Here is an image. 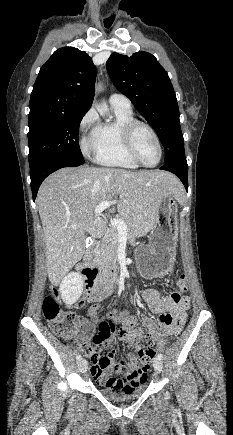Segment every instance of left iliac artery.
Masks as SVG:
<instances>
[{
	"label": "left iliac artery",
	"mask_w": 233,
	"mask_h": 435,
	"mask_svg": "<svg viewBox=\"0 0 233 435\" xmlns=\"http://www.w3.org/2000/svg\"><path fill=\"white\" fill-rule=\"evenodd\" d=\"M158 358L162 360L163 359V355L161 353H159L158 354Z\"/></svg>",
	"instance_id": "left-iliac-artery-1"
}]
</instances>
